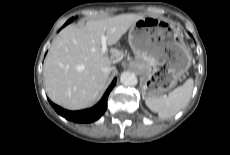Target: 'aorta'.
I'll return each mask as SVG.
<instances>
[{"instance_id": "1", "label": "aorta", "mask_w": 230, "mask_h": 155, "mask_svg": "<svg viewBox=\"0 0 230 155\" xmlns=\"http://www.w3.org/2000/svg\"><path fill=\"white\" fill-rule=\"evenodd\" d=\"M120 82L124 85V86H136L138 83V79L136 77V75L132 72H123L120 76Z\"/></svg>"}]
</instances>
